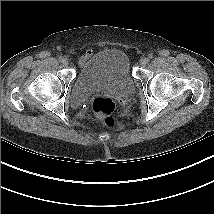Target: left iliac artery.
I'll use <instances>...</instances> for the list:
<instances>
[{
    "instance_id": "44dca946",
    "label": "left iliac artery",
    "mask_w": 214,
    "mask_h": 214,
    "mask_svg": "<svg viewBox=\"0 0 214 214\" xmlns=\"http://www.w3.org/2000/svg\"><path fill=\"white\" fill-rule=\"evenodd\" d=\"M152 58H153V55H152V54H149V55H148V60H149V59H152Z\"/></svg>"
}]
</instances>
